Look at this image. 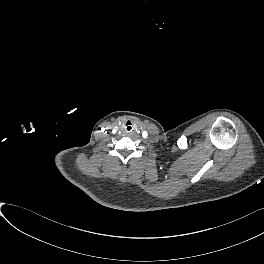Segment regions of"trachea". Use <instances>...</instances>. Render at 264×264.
Listing matches in <instances>:
<instances>
[{
    "label": "trachea",
    "instance_id": "1",
    "mask_svg": "<svg viewBox=\"0 0 264 264\" xmlns=\"http://www.w3.org/2000/svg\"><path fill=\"white\" fill-rule=\"evenodd\" d=\"M122 129H123V131H124L125 133H131V132H133V130H134V125H133L132 122L127 121V122H125V123L123 124Z\"/></svg>",
    "mask_w": 264,
    "mask_h": 264
}]
</instances>
